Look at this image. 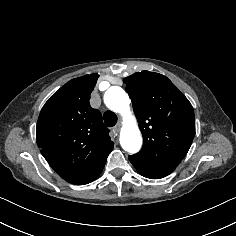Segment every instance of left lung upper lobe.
Segmentation results:
<instances>
[{"label": "left lung upper lobe", "instance_id": "1", "mask_svg": "<svg viewBox=\"0 0 236 236\" xmlns=\"http://www.w3.org/2000/svg\"><path fill=\"white\" fill-rule=\"evenodd\" d=\"M123 82L143 135L142 149L131 158L152 166L176 168L195 135L192 105L162 74L142 71Z\"/></svg>", "mask_w": 236, "mask_h": 236}]
</instances>
